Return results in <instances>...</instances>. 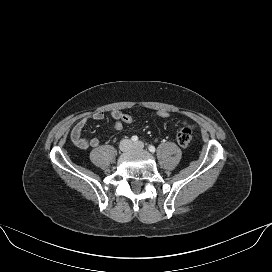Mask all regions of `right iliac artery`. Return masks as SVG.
<instances>
[{"instance_id":"right-iliac-artery-1","label":"right iliac artery","mask_w":272,"mask_h":272,"mask_svg":"<svg viewBox=\"0 0 272 272\" xmlns=\"http://www.w3.org/2000/svg\"><path fill=\"white\" fill-rule=\"evenodd\" d=\"M131 140H132L133 142H136V141L138 140V137H137L136 135H134V136H132Z\"/></svg>"}]
</instances>
